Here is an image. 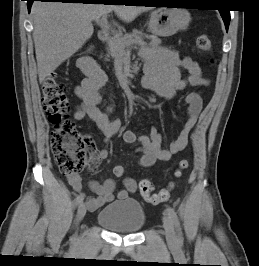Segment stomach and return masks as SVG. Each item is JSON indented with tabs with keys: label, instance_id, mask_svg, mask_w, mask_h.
<instances>
[{
	"label": "stomach",
	"instance_id": "0dacf381",
	"mask_svg": "<svg viewBox=\"0 0 259 266\" xmlns=\"http://www.w3.org/2000/svg\"><path fill=\"white\" fill-rule=\"evenodd\" d=\"M191 22L186 9L158 8L151 12L149 31L154 36L168 37L180 30H186Z\"/></svg>",
	"mask_w": 259,
	"mask_h": 266
}]
</instances>
